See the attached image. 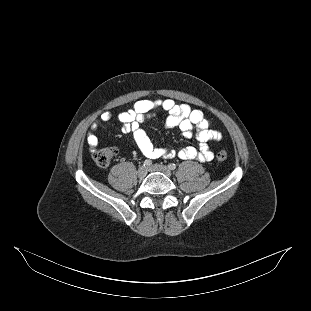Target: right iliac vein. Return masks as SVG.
I'll use <instances>...</instances> for the list:
<instances>
[{"mask_svg":"<svg viewBox=\"0 0 311 311\" xmlns=\"http://www.w3.org/2000/svg\"><path fill=\"white\" fill-rule=\"evenodd\" d=\"M147 174V168L144 166L139 167L138 171H137V175L139 178H144Z\"/></svg>","mask_w":311,"mask_h":311,"instance_id":"63e3f726","label":"right iliac vein"}]
</instances>
